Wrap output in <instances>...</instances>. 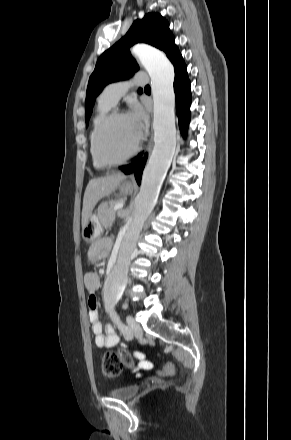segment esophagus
I'll list each match as a JSON object with an SVG mask.
<instances>
[{"label": "esophagus", "instance_id": "1", "mask_svg": "<svg viewBox=\"0 0 291 440\" xmlns=\"http://www.w3.org/2000/svg\"><path fill=\"white\" fill-rule=\"evenodd\" d=\"M153 146V134H151L150 140H149V144H148V148H147V152L149 153L152 149ZM131 181L134 183L133 178L131 179Z\"/></svg>", "mask_w": 291, "mask_h": 440}]
</instances>
